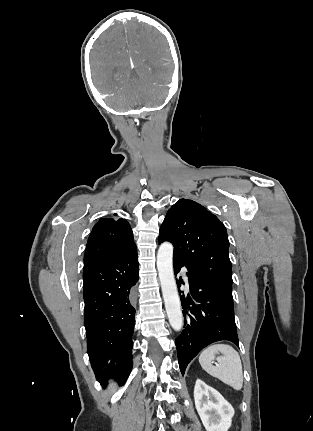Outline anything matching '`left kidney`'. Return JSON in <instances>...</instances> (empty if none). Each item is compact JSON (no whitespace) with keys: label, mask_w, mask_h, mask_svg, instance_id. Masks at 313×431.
<instances>
[{"label":"left kidney","mask_w":313,"mask_h":431,"mask_svg":"<svg viewBox=\"0 0 313 431\" xmlns=\"http://www.w3.org/2000/svg\"><path fill=\"white\" fill-rule=\"evenodd\" d=\"M194 400L197 412L207 431H228L234 416V408L217 390L197 379Z\"/></svg>","instance_id":"obj_1"}]
</instances>
